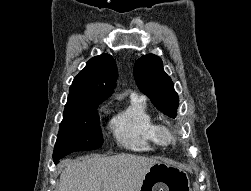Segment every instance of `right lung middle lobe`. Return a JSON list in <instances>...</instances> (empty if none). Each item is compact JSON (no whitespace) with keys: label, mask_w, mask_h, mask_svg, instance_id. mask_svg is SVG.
Here are the masks:
<instances>
[{"label":"right lung middle lobe","mask_w":251,"mask_h":191,"mask_svg":"<svg viewBox=\"0 0 251 191\" xmlns=\"http://www.w3.org/2000/svg\"><path fill=\"white\" fill-rule=\"evenodd\" d=\"M98 105L65 110L54 147L53 160L74 151L100 148L103 144L98 118Z\"/></svg>","instance_id":"obj_1"}]
</instances>
